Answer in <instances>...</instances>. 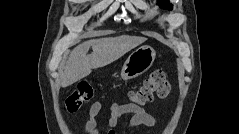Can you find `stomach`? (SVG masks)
<instances>
[{
  "mask_svg": "<svg viewBox=\"0 0 239 134\" xmlns=\"http://www.w3.org/2000/svg\"><path fill=\"white\" fill-rule=\"evenodd\" d=\"M155 57L156 52L151 46L139 47L125 61L121 70V78L128 80L142 75L152 66Z\"/></svg>",
  "mask_w": 239,
  "mask_h": 134,
  "instance_id": "1",
  "label": "stomach"
}]
</instances>
